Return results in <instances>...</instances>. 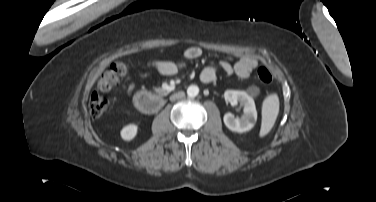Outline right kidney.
Instances as JSON below:
<instances>
[{
  "instance_id": "obj_1",
  "label": "right kidney",
  "mask_w": 376,
  "mask_h": 202,
  "mask_svg": "<svg viewBox=\"0 0 376 202\" xmlns=\"http://www.w3.org/2000/svg\"><path fill=\"white\" fill-rule=\"evenodd\" d=\"M137 125L129 124L121 130V138L125 141L132 140L137 134Z\"/></svg>"
}]
</instances>
